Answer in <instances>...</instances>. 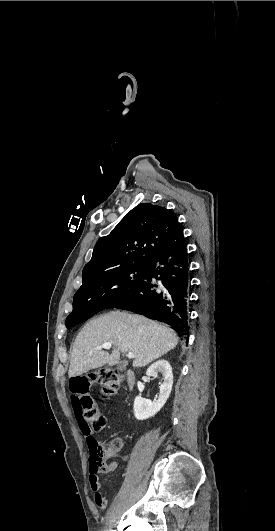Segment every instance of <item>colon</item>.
<instances>
[{
	"label": "colon",
	"mask_w": 275,
	"mask_h": 531,
	"mask_svg": "<svg viewBox=\"0 0 275 531\" xmlns=\"http://www.w3.org/2000/svg\"><path fill=\"white\" fill-rule=\"evenodd\" d=\"M90 377L75 376L72 378V396H81L83 404L82 410L83 421L91 422L92 429L100 428V424L108 423L107 417L96 407L94 403L95 396L92 394V381L99 383L105 392L118 388L123 378L117 372L102 368L97 372L89 373ZM107 429V428H106ZM120 441L110 440L103 444L102 459L99 461L97 470L105 469L109 472L116 466L115 455L119 452Z\"/></svg>",
	"instance_id": "1"
}]
</instances>
